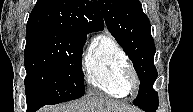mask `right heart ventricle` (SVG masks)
I'll list each match as a JSON object with an SVG mask.
<instances>
[{"label": "right heart ventricle", "instance_id": "1", "mask_svg": "<svg viewBox=\"0 0 193 112\" xmlns=\"http://www.w3.org/2000/svg\"><path fill=\"white\" fill-rule=\"evenodd\" d=\"M128 63V56L119 41L109 33L99 34L91 40L84 56V78L92 88L124 98L131 90L124 76Z\"/></svg>", "mask_w": 193, "mask_h": 112}]
</instances>
